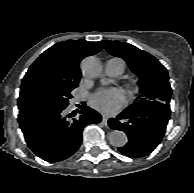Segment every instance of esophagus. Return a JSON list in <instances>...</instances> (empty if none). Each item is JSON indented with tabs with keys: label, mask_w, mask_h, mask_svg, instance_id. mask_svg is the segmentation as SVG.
Here are the masks:
<instances>
[{
	"label": "esophagus",
	"mask_w": 194,
	"mask_h": 193,
	"mask_svg": "<svg viewBox=\"0 0 194 193\" xmlns=\"http://www.w3.org/2000/svg\"><path fill=\"white\" fill-rule=\"evenodd\" d=\"M102 122H103L104 125H107V123H108V117L105 116V115H103L102 116Z\"/></svg>",
	"instance_id": "obj_1"
}]
</instances>
